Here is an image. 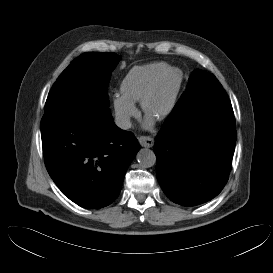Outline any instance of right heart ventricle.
<instances>
[{
  "label": "right heart ventricle",
  "instance_id": "obj_1",
  "mask_svg": "<svg viewBox=\"0 0 273 273\" xmlns=\"http://www.w3.org/2000/svg\"><path fill=\"white\" fill-rule=\"evenodd\" d=\"M165 68L167 65L159 62L134 67L121 85L122 97L131 103L139 101L148 84Z\"/></svg>",
  "mask_w": 273,
  "mask_h": 273
}]
</instances>
